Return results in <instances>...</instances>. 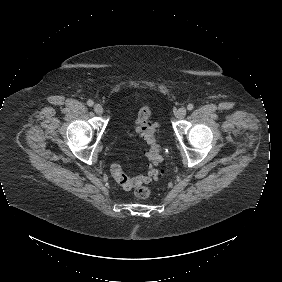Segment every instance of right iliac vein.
<instances>
[{"label": "right iliac vein", "instance_id": "right-iliac-vein-1", "mask_svg": "<svg viewBox=\"0 0 282 282\" xmlns=\"http://www.w3.org/2000/svg\"><path fill=\"white\" fill-rule=\"evenodd\" d=\"M94 111L98 115H102L103 114V108H102V106L100 104H95L94 105Z\"/></svg>", "mask_w": 282, "mask_h": 282}]
</instances>
